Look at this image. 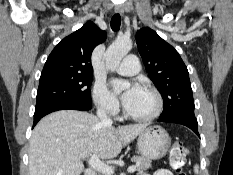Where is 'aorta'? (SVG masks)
<instances>
[{
  "label": "aorta",
  "mask_w": 233,
  "mask_h": 175,
  "mask_svg": "<svg viewBox=\"0 0 233 175\" xmlns=\"http://www.w3.org/2000/svg\"><path fill=\"white\" fill-rule=\"evenodd\" d=\"M132 48V42L128 39L116 40L113 42L104 54L106 67L114 71L120 64L121 60Z\"/></svg>",
  "instance_id": "1"
}]
</instances>
